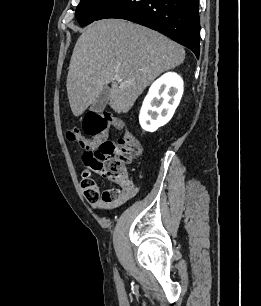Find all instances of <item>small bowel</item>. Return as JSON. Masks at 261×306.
I'll use <instances>...</instances> for the list:
<instances>
[{"label":"small bowel","instance_id":"c3829d8e","mask_svg":"<svg viewBox=\"0 0 261 306\" xmlns=\"http://www.w3.org/2000/svg\"><path fill=\"white\" fill-rule=\"evenodd\" d=\"M137 193H138L137 187H131L123 191L118 190L117 197L112 202L107 203L104 201H99L95 203V207L98 209L116 208L118 206L123 205L124 203L132 199L133 197H135Z\"/></svg>","mask_w":261,"mask_h":306}]
</instances>
